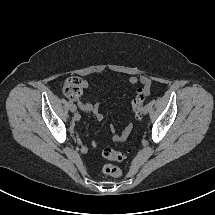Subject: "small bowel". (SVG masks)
<instances>
[{
	"label": "small bowel",
	"mask_w": 215,
	"mask_h": 215,
	"mask_svg": "<svg viewBox=\"0 0 215 215\" xmlns=\"http://www.w3.org/2000/svg\"><path fill=\"white\" fill-rule=\"evenodd\" d=\"M129 82L133 85L140 83L143 86H147V87H149L151 84L150 78L148 76H145V75H142L140 77H131L129 79ZM86 88H88V83L86 81H83V89H86ZM76 101H77L79 108L82 111L91 114L95 118V120L100 121L103 118V114L101 112V108H100V105L98 103H92L89 101H82L80 99H77ZM79 120H80V116L76 115L74 117V121L78 122ZM131 130H132L131 124H128L127 126H125V128L122 130L121 133H115L114 130L112 129L113 140L116 142L125 140L129 136ZM82 151L86 152V148L83 147Z\"/></svg>",
	"instance_id": "1"
}]
</instances>
